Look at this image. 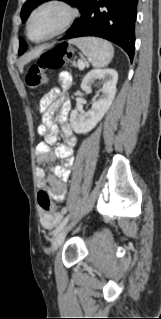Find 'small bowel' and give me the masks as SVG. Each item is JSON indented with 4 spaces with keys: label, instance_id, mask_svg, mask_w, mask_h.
Segmentation results:
<instances>
[{
    "label": "small bowel",
    "instance_id": "c3829d8e",
    "mask_svg": "<svg viewBox=\"0 0 161 319\" xmlns=\"http://www.w3.org/2000/svg\"><path fill=\"white\" fill-rule=\"evenodd\" d=\"M57 79L59 86L51 89L40 102L42 124L38 127V133L44 137V140L37 144L35 153L42 163L54 162L57 158L63 159L62 165L53 167L47 176L43 169H39L37 172L39 186L46 187L55 201L62 202L67 193L66 182L73 166L72 154L77 144V137L68 123V115L71 110L68 94L70 75L67 72H61ZM58 109L59 124L65 142L58 144L52 152L50 146L57 142L59 135V125L54 121ZM65 211L66 208L60 211L42 212L40 215L41 226L46 230L54 229L63 218Z\"/></svg>",
    "mask_w": 161,
    "mask_h": 319
}]
</instances>
